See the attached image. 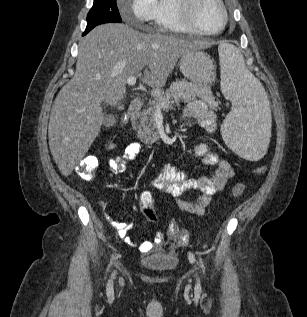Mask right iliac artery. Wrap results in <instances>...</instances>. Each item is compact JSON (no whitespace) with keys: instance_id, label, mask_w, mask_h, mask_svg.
I'll return each instance as SVG.
<instances>
[{"instance_id":"82829eb1","label":"right iliac artery","mask_w":307,"mask_h":317,"mask_svg":"<svg viewBox=\"0 0 307 317\" xmlns=\"http://www.w3.org/2000/svg\"><path fill=\"white\" fill-rule=\"evenodd\" d=\"M111 263H112V261L110 262V264H109V266H108V267H110Z\"/></svg>"}]
</instances>
